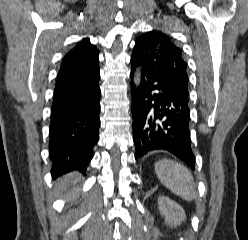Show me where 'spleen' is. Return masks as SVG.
Returning <instances> with one entry per match:
<instances>
[{
  "instance_id": "spleen-1",
  "label": "spleen",
  "mask_w": 248,
  "mask_h": 240,
  "mask_svg": "<svg viewBox=\"0 0 248 240\" xmlns=\"http://www.w3.org/2000/svg\"><path fill=\"white\" fill-rule=\"evenodd\" d=\"M155 172L160 182L177 196L186 201H192L195 198L194 178L183 165L163 159L156 162Z\"/></svg>"
}]
</instances>
